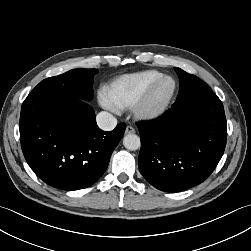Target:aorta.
I'll return each mask as SVG.
<instances>
[{"label": "aorta", "mask_w": 251, "mask_h": 251, "mask_svg": "<svg viewBox=\"0 0 251 251\" xmlns=\"http://www.w3.org/2000/svg\"><path fill=\"white\" fill-rule=\"evenodd\" d=\"M123 145L126 149L137 150L140 148V138L136 134H127L123 139Z\"/></svg>", "instance_id": "obj_1"}]
</instances>
